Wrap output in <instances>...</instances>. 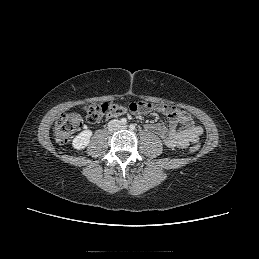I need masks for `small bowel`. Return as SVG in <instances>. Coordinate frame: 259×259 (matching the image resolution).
<instances>
[{
    "instance_id": "c3829d8e",
    "label": "small bowel",
    "mask_w": 259,
    "mask_h": 259,
    "mask_svg": "<svg viewBox=\"0 0 259 259\" xmlns=\"http://www.w3.org/2000/svg\"><path fill=\"white\" fill-rule=\"evenodd\" d=\"M129 107L140 113H147L156 109L168 117V126L163 123H151L146 126L147 130L161 137L168 147L185 148L190 143L197 142L203 133L202 126L196 124L190 114L177 107L170 105L153 106L144 101L132 103ZM141 108L144 110L140 111ZM180 125L184 127L182 130L179 129Z\"/></svg>"
}]
</instances>
